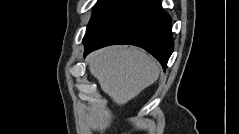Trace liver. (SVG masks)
<instances>
[{"instance_id":"6515ba94","label":"liver","mask_w":239,"mask_h":134,"mask_svg":"<svg viewBox=\"0 0 239 134\" xmlns=\"http://www.w3.org/2000/svg\"><path fill=\"white\" fill-rule=\"evenodd\" d=\"M87 62L101 89L120 106L154 83L160 74L158 63L134 47H106L91 53Z\"/></svg>"}]
</instances>
